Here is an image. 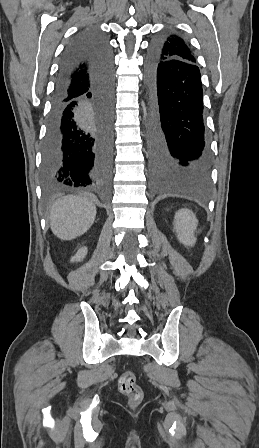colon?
<instances>
[{
	"label": "colon",
	"instance_id": "1",
	"mask_svg": "<svg viewBox=\"0 0 259 448\" xmlns=\"http://www.w3.org/2000/svg\"><path fill=\"white\" fill-rule=\"evenodd\" d=\"M119 390L128 397L129 405L137 407L143 399V391L137 384L136 377L132 371H125L118 380Z\"/></svg>",
	"mask_w": 259,
	"mask_h": 448
}]
</instances>
